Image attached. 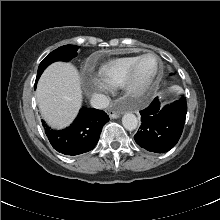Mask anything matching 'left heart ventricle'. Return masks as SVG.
Masks as SVG:
<instances>
[{
  "label": "left heart ventricle",
  "mask_w": 220,
  "mask_h": 220,
  "mask_svg": "<svg viewBox=\"0 0 220 220\" xmlns=\"http://www.w3.org/2000/svg\"><path fill=\"white\" fill-rule=\"evenodd\" d=\"M157 69V61L154 57L148 56L142 60L138 68V77L141 81L150 78Z\"/></svg>",
  "instance_id": "b2bd125f"
}]
</instances>
